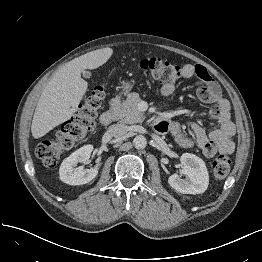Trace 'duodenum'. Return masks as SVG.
<instances>
[{
    "mask_svg": "<svg viewBox=\"0 0 262 262\" xmlns=\"http://www.w3.org/2000/svg\"><path fill=\"white\" fill-rule=\"evenodd\" d=\"M120 99L115 97L110 102L109 110L103 112L100 116V122L103 126H109L115 119Z\"/></svg>",
    "mask_w": 262,
    "mask_h": 262,
    "instance_id": "410a0bca",
    "label": "duodenum"
}]
</instances>
